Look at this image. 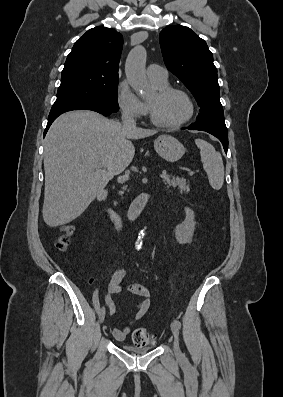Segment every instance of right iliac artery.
Instances as JSON below:
<instances>
[{"mask_svg": "<svg viewBox=\"0 0 283 397\" xmlns=\"http://www.w3.org/2000/svg\"><path fill=\"white\" fill-rule=\"evenodd\" d=\"M98 294H99V291L95 290L93 298H92V303L95 305L96 312L99 314L101 309H100V305H99Z\"/></svg>", "mask_w": 283, "mask_h": 397, "instance_id": "right-iliac-artery-1", "label": "right iliac artery"}]
</instances>
